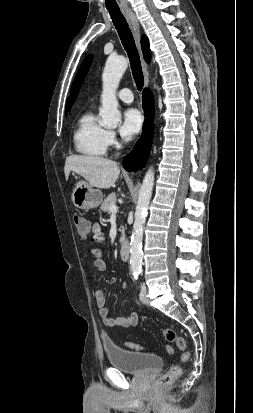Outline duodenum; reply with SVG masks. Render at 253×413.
Wrapping results in <instances>:
<instances>
[{
	"instance_id": "410a0bca",
	"label": "duodenum",
	"mask_w": 253,
	"mask_h": 413,
	"mask_svg": "<svg viewBox=\"0 0 253 413\" xmlns=\"http://www.w3.org/2000/svg\"><path fill=\"white\" fill-rule=\"evenodd\" d=\"M130 257V246L128 240L124 239L120 248V258L122 261H128Z\"/></svg>"
}]
</instances>
